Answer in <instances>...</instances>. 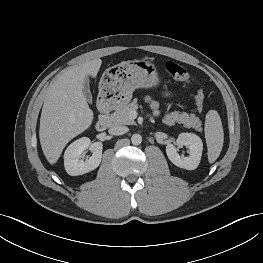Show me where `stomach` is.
<instances>
[{
	"instance_id": "obj_1",
	"label": "stomach",
	"mask_w": 263,
	"mask_h": 263,
	"mask_svg": "<svg viewBox=\"0 0 263 263\" xmlns=\"http://www.w3.org/2000/svg\"><path fill=\"white\" fill-rule=\"evenodd\" d=\"M160 78L158 68L149 60H133L122 62L108 68L99 84V96L123 106L132 98L137 88H152L158 86Z\"/></svg>"
}]
</instances>
